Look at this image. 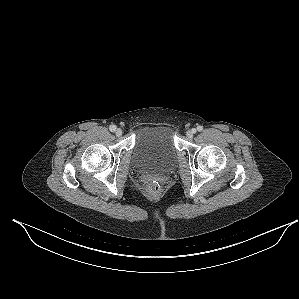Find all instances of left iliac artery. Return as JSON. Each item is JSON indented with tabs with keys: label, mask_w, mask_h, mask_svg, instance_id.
I'll list each match as a JSON object with an SVG mask.
<instances>
[{
	"label": "left iliac artery",
	"mask_w": 299,
	"mask_h": 299,
	"mask_svg": "<svg viewBox=\"0 0 299 299\" xmlns=\"http://www.w3.org/2000/svg\"><path fill=\"white\" fill-rule=\"evenodd\" d=\"M197 130H198L199 132H201V131L203 130V127H202V126H198V127H197Z\"/></svg>",
	"instance_id": "1"
}]
</instances>
